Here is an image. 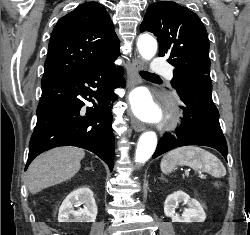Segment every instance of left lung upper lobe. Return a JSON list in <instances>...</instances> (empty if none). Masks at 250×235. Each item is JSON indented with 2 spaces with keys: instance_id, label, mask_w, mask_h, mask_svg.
<instances>
[{
  "instance_id": "obj_1",
  "label": "left lung upper lobe",
  "mask_w": 250,
  "mask_h": 235,
  "mask_svg": "<svg viewBox=\"0 0 250 235\" xmlns=\"http://www.w3.org/2000/svg\"><path fill=\"white\" fill-rule=\"evenodd\" d=\"M140 31L152 32L159 43V56L175 67L174 88L189 76L210 77L209 40L200 18L186 7L171 1L151 4Z\"/></svg>"
}]
</instances>
